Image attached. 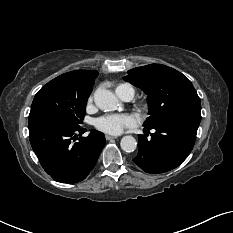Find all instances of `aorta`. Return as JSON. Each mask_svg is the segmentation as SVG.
<instances>
[{
    "instance_id": "762f6f07",
    "label": "aorta",
    "mask_w": 233,
    "mask_h": 233,
    "mask_svg": "<svg viewBox=\"0 0 233 233\" xmlns=\"http://www.w3.org/2000/svg\"><path fill=\"white\" fill-rule=\"evenodd\" d=\"M96 106L103 111H115L119 107L118 98L107 89H97L94 93ZM121 149L127 153L133 152L137 147L133 136H124L120 141Z\"/></svg>"
}]
</instances>
